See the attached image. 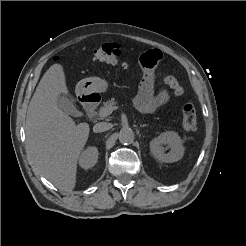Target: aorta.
<instances>
[{"label": "aorta", "mask_w": 246, "mask_h": 246, "mask_svg": "<svg viewBox=\"0 0 246 246\" xmlns=\"http://www.w3.org/2000/svg\"><path fill=\"white\" fill-rule=\"evenodd\" d=\"M134 140V132L130 128H122L119 132V141L122 144H131Z\"/></svg>", "instance_id": "1"}]
</instances>
